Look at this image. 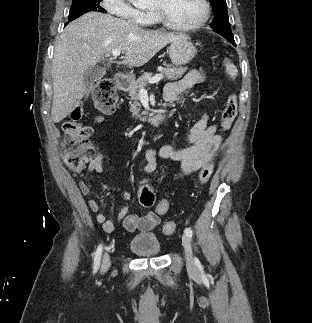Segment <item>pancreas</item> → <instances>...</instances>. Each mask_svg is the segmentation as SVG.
Listing matches in <instances>:
<instances>
[{
    "mask_svg": "<svg viewBox=\"0 0 312 323\" xmlns=\"http://www.w3.org/2000/svg\"><path fill=\"white\" fill-rule=\"evenodd\" d=\"M186 70L187 68H172V70H169V68H162L161 74H164L166 80H178V78H182ZM150 80H152V74L145 72L136 82H131L130 84L129 96L131 100H133L132 104H130V112H132V116H135L136 120L137 118H141V116H139L141 106L139 102H137L140 98V90L141 88H144V86H147ZM147 114L148 112H142L143 118H141V120H143V122H145Z\"/></svg>",
    "mask_w": 312,
    "mask_h": 323,
    "instance_id": "pancreas-1",
    "label": "pancreas"
}]
</instances>
